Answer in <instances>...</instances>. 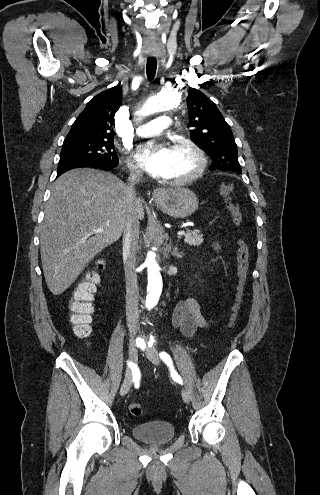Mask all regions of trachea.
Wrapping results in <instances>:
<instances>
[{"mask_svg": "<svg viewBox=\"0 0 320 495\" xmlns=\"http://www.w3.org/2000/svg\"><path fill=\"white\" fill-rule=\"evenodd\" d=\"M157 62L155 60L147 61L146 73L148 80H152L156 74Z\"/></svg>", "mask_w": 320, "mask_h": 495, "instance_id": "trachea-1", "label": "trachea"}]
</instances>
